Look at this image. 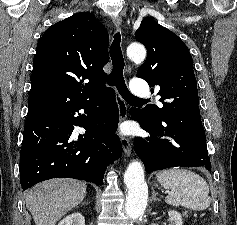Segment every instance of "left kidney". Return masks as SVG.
Masks as SVG:
<instances>
[{
  "label": "left kidney",
  "instance_id": "5707ae66",
  "mask_svg": "<svg viewBox=\"0 0 237 225\" xmlns=\"http://www.w3.org/2000/svg\"><path fill=\"white\" fill-rule=\"evenodd\" d=\"M169 214V225H183L181 214L177 211L170 210Z\"/></svg>",
  "mask_w": 237,
  "mask_h": 225
}]
</instances>
